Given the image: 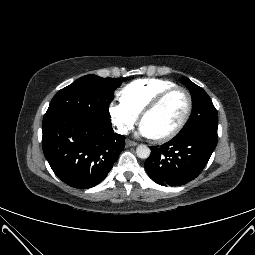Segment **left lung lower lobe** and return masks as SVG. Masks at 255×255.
I'll return each instance as SVG.
<instances>
[{"label":"left lung lower lobe","instance_id":"left-lung-lower-lobe-1","mask_svg":"<svg viewBox=\"0 0 255 255\" xmlns=\"http://www.w3.org/2000/svg\"><path fill=\"white\" fill-rule=\"evenodd\" d=\"M217 144V135L175 137L162 146H151L145 162L149 177L162 186H179L196 178Z\"/></svg>","mask_w":255,"mask_h":255}]
</instances>
